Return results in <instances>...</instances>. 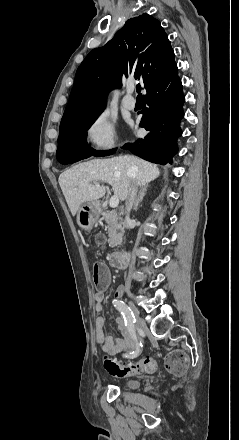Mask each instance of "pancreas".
<instances>
[{
  "mask_svg": "<svg viewBox=\"0 0 239 440\" xmlns=\"http://www.w3.org/2000/svg\"><path fill=\"white\" fill-rule=\"evenodd\" d=\"M105 212H102V220H105L108 228V244L110 248H115V246H120L122 242V236L124 234L122 218L120 214H117L115 210H108L104 208Z\"/></svg>",
  "mask_w": 239,
  "mask_h": 440,
  "instance_id": "pancreas-1",
  "label": "pancreas"
}]
</instances>
